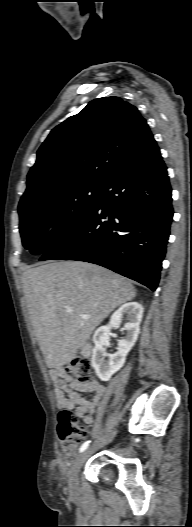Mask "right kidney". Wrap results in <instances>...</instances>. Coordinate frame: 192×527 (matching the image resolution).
<instances>
[{"label":"right kidney","instance_id":"obj_1","mask_svg":"<svg viewBox=\"0 0 192 527\" xmlns=\"http://www.w3.org/2000/svg\"><path fill=\"white\" fill-rule=\"evenodd\" d=\"M142 316V305L137 302L125 303L113 313L108 325L99 327L95 331L93 335L95 347L92 352L91 363L95 373L102 381H109L111 376L123 367L126 356L140 333ZM124 317L128 320L122 328V331H126V335L118 341V352L107 354L105 346L108 343L110 330L111 328H118Z\"/></svg>","mask_w":192,"mask_h":527}]
</instances>
